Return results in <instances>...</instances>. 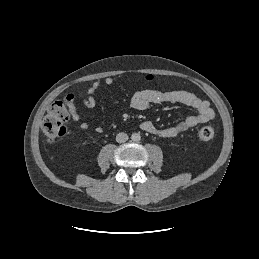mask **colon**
<instances>
[{"mask_svg":"<svg viewBox=\"0 0 259 259\" xmlns=\"http://www.w3.org/2000/svg\"><path fill=\"white\" fill-rule=\"evenodd\" d=\"M151 81L152 77H148ZM73 105V95H67L63 100L56 101L50 105L41 125L42 132L48 143H54L66 133V124L69 121L71 108ZM215 136L211 126L202 127L197 134L200 141L208 142Z\"/></svg>","mask_w":259,"mask_h":259,"instance_id":"colon-1","label":"colon"}]
</instances>
